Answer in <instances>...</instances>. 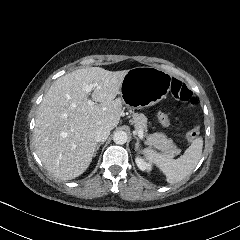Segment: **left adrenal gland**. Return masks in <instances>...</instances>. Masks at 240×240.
Listing matches in <instances>:
<instances>
[{"mask_svg": "<svg viewBox=\"0 0 240 240\" xmlns=\"http://www.w3.org/2000/svg\"><path fill=\"white\" fill-rule=\"evenodd\" d=\"M133 137L137 140L136 143H135V147H140L141 149H143V146L140 143V138L136 135H133Z\"/></svg>", "mask_w": 240, "mask_h": 240, "instance_id": "left-adrenal-gland-1", "label": "left adrenal gland"}]
</instances>
